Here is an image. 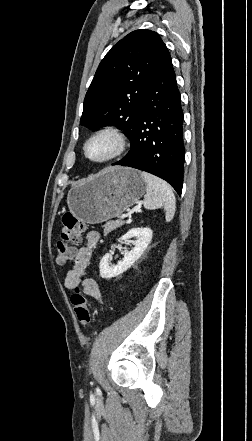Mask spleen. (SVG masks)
Here are the masks:
<instances>
[{
	"label": "spleen",
	"instance_id": "obj_1",
	"mask_svg": "<svg viewBox=\"0 0 252 441\" xmlns=\"http://www.w3.org/2000/svg\"><path fill=\"white\" fill-rule=\"evenodd\" d=\"M141 176L146 182L144 207L149 210L164 208L165 219L170 222L176 209V200L172 188L164 180L147 172H142Z\"/></svg>",
	"mask_w": 252,
	"mask_h": 441
}]
</instances>
